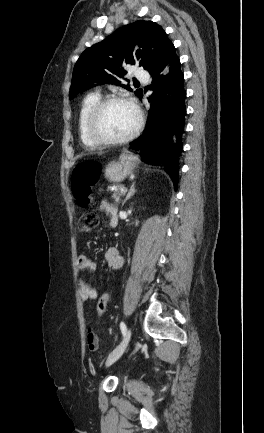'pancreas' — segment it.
I'll return each instance as SVG.
<instances>
[{"label":"pancreas","instance_id":"obj_1","mask_svg":"<svg viewBox=\"0 0 264 433\" xmlns=\"http://www.w3.org/2000/svg\"><path fill=\"white\" fill-rule=\"evenodd\" d=\"M121 188H123V186H119L118 189L113 191V195L112 197L115 199V202L118 203L120 201V198L124 195L123 192H121Z\"/></svg>","mask_w":264,"mask_h":433}]
</instances>
